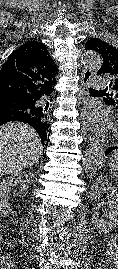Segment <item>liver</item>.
Masks as SVG:
<instances>
[{"label":"liver","instance_id":"6515ba94","mask_svg":"<svg viewBox=\"0 0 118 269\" xmlns=\"http://www.w3.org/2000/svg\"><path fill=\"white\" fill-rule=\"evenodd\" d=\"M43 146L27 124L11 122L0 127V177L14 174L39 161Z\"/></svg>","mask_w":118,"mask_h":269}]
</instances>
